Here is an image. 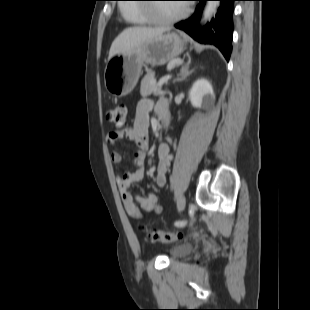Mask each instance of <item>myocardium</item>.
<instances>
[{
    "instance_id": "obj_1",
    "label": "myocardium",
    "mask_w": 310,
    "mask_h": 310,
    "mask_svg": "<svg viewBox=\"0 0 310 310\" xmlns=\"http://www.w3.org/2000/svg\"><path fill=\"white\" fill-rule=\"evenodd\" d=\"M145 12L147 13L150 20L156 24H170V23L177 22L181 20L182 18H184L185 16H187L190 12V8L184 7L178 13L174 15H170V16H159L157 15L155 9L150 8V7H146Z\"/></svg>"
}]
</instances>
